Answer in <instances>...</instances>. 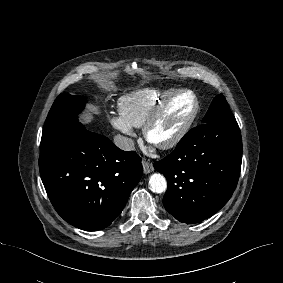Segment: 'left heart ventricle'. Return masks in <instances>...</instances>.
I'll use <instances>...</instances> for the list:
<instances>
[{
	"mask_svg": "<svg viewBox=\"0 0 283 283\" xmlns=\"http://www.w3.org/2000/svg\"><path fill=\"white\" fill-rule=\"evenodd\" d=\"M193 107L190 96L176 98L151 130L150 136L154 142H161L173 135L185 121Z\"/></svg>",
	"mask_w": 283,
	"mask_h": 283,
	"instance_id": "1",
	"label": "left heart ventricle"
}]
</instances>
